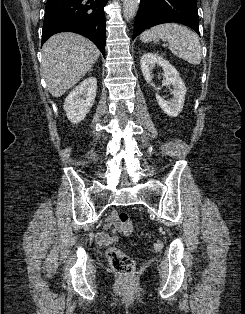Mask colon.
<instances>
[{
    "label": "colon",
    "mask_w": 245,
    "mask_h": 314,
    "mask_svg": "<svg viewBox=\"0 0 245 314\" xmlns=\"http://www.w3.org/2000/svg\"><path fill=\"white\" fill-rule=\"evenodd\" d=\"M116 221L124 235L126 236L132 235L134 227L128 213L119 212L116 216ZM162 247L163 244L161 241H156L152 245L153 250L156 252L160 251ZM107 257L109 259L112 269L115 272L124 277L132 276L135 270V265L133 260L128 255H126L116 247H111L107 252Z\"/></svg>",
    "instance_id": "obj_1"
}]
</instances>
